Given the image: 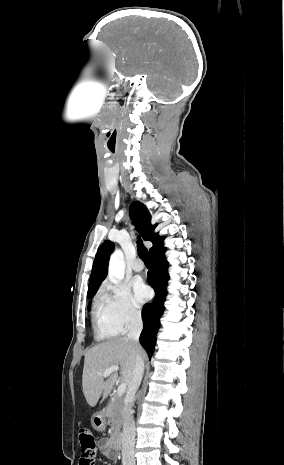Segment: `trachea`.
Masks as SVG:
<instances>
[{"label": "trachea", "instance_id": "obj_1", "mask_svg": "<svg viewBox=\"0 0 284 465\" xmlns=\"http://www.w3.org/2000/svg\"><path fill=\"white\" fill-rule=\"evenodd\" d=\"M137 246H138V255H139V257L143 260L145 265H149V257H148L147 248L144 247L141 240H138V245Z\"/></svg>", "mask_w": 284, "mask_h": 465}]
</instances>
